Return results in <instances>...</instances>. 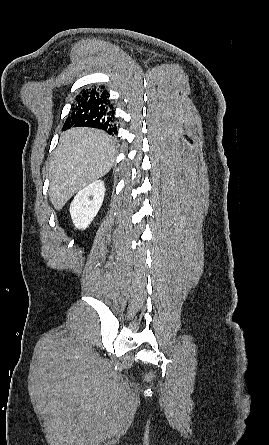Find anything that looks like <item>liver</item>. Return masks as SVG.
<instances>
[{"instance_id":"liver-1","label":"liver","mask_w":269,"mask_h":445,"mask_svg":"<svg viewBox=\"0 0 269 445\" xmlns=\"http://www.w3.org/2000/svg\"><path fill=\"white\" fill-rule=\"evenodd\" d=\"M115 158V143L101 130L72 128L63 133L49 168L52 205L62 209L75 193L106 175Z\"/></svg>"}]
</instances>
